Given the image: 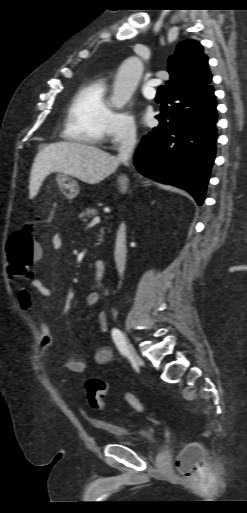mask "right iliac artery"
<instances>
[{
	"mask_svg": "<svg viewBox=\"0 0 247 513\" xmlns=\"http://www.w3.org/2000/svg\"><path fill=\"white\" fill-rule=\"evenodd\" d=\"M112 338H113V341L116 344L118 350L120 351V353L124 356L127 355L128 348L126 345V341H125L123 334L121 333V331L119 329L114 328L112 330Z\"/></svg>",
	"mask_w": 247,
	"mask_h": 513,
	"instance_id": "1",
	"label": "right iliac artery"
}]
</instances>
